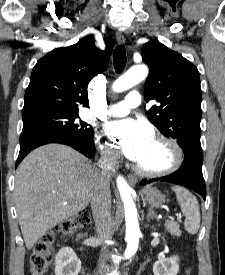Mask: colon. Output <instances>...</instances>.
Masks as SVG:
<instances>
[{
    "label": "colon",
    "instance_id": "5ec220e1",
    "mask_svg": "<svg viewBox=\"0 0 225 275\" xmlns=\"http://www.w3.org/2000/svg\"><path fill=\"white\" fill-rule=\"evenodd\" d=\"M90 214L81 211L72 218L62 222L54 230L45 233L34 245L30 256L32 275H43L53 260V245L56 237L68 236L77 230L87 226L90 222ZM189 273V269L186 270Z\"/></svg>",
    "mask_w": 225,
    "mask_h": 275
}]
</instances>
